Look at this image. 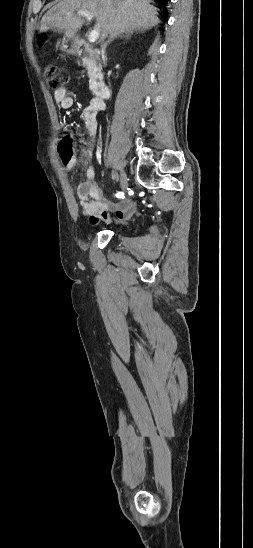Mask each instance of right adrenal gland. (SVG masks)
I'll use <instances>...</instances> for the list:
<instances>
[{
	"label": "right adrenal gland",
	"instance_id": "right-adrenal-gland-1",
	"mask_svg": "<svg viewBox=\"0 0 253 548\" xmlns=\"http://www.w3.org/2000/svg\"><path fill=\"white\" fill-rule=\"evenodd\" d=\"M133 34L132 31H125V32H122L116 36H112L108 39V41L105 43V49L107 48V46L114 40V39H117V38H125V39H129L131 37V35Z\"/></svg>",
	"mask_w": 253,
	"mask_h": 548
}]
</instances>
